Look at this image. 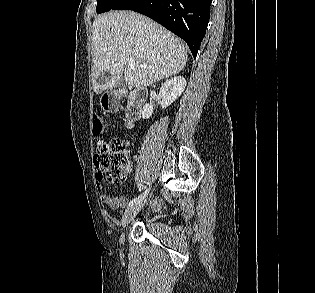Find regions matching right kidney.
Instances as JSON below:
<instances>
[{
    "label": "right kidney",
    "instance_id": "ca27d5eb",
    "mask_svg": "<svg viewBox=\"0 0 315 293\" xmlns=\"http://www.w3.org/2000/svg\"><path fill=\"white\" fill-rule=\"evenodd\" d=\"M186 79L182 76L174 77L166 81L160 88L159 97L161 99V107L167 108L171 105L184 91L186 87ZM153 114V107L145 104L142 110V118L149 119Z\"/></svg>",
    "mask_w": 315,
    "mask_h": 293
}]
</instances>
